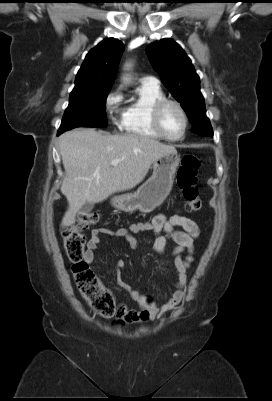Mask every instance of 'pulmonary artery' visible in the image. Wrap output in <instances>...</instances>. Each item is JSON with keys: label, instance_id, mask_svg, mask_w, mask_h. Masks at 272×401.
<instances>
[{"label": "pulmonary artery", "instance_id": "pulmonary-artery-1", "mask_svg": "<svg viewBox=\"0 0 272 401\" xmlns=\"http://www.w3.org/2000/svg\"><path fill=\"white\" fill-rule=\"evenodd\" d=\"M141 83L144 85L158 86V80L152 76L143 77Z\"/></svg>", "mask_w": 272, "mask_h": 401}]
</instances>
